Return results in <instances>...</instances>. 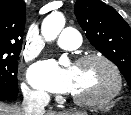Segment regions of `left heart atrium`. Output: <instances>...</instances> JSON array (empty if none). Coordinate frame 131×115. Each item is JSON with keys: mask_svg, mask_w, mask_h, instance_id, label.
I'll return each mask as SVG.
<instances>
[{"mask_svg": "<svg viewBox=\"0 0 131 115\" xmlns=\"http://www.w3.org/2000/svg\"><path fill=\"white\" fill-rule=\"evenodd\" d=\"M29 79L33 85L51 92L67 93L73 90L74 73L72 69L61 70L53 61H45L31 68Z\"/></svg>", "mask_w": 131, "mask_h": 115, "instance_id": "39dd6f15", "label": "left heart atrium"}]
</instances>
